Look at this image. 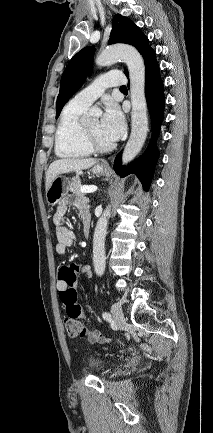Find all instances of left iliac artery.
Returning <instances> with one entry per match:
<instances>
[{"mask_svg": "<svg viewBox=\"0 0 213 433\" xmlns=\"http://www.w3.org/2000/svg\"><path fill=\"white\" fill-rule=\"evenodd\" d=\"M102 317L105 320H110L111 319V315L108 312H103Z\"/></svg>", "mask_w": 213, "mask_h": 433, "instance_id": "44dca946", "label": "left iliac artery"}]
</instances>
